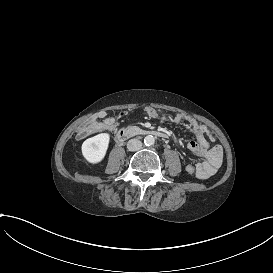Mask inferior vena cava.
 <instances>
[{
	"label": "inferior vena cava",
	"instance_id": "inferior-vena-cava-1",
	"mask_svg": "<svg viewBox=\"0 0 273 273\" xmlns=\"http://www.w3.org/2000/svg\"><path fill=\"white\" fill-rule=\"evenodd\" d=\"M129 151H138L142 148V142L138 139H130L127 143Z\"/></svg>",
	"mask_w": 273,
	"mask_h": 273
}]
</instances>
